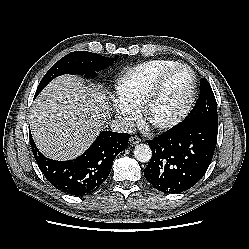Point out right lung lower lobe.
<instances>
[{
    "label": "right lung lower lobe",
    "mask_w": 249,
    "mask_h": 249,
    "mask_svg": "<svg viewBox=\"0 0 249 249\" xmlns=\"http://www.w3.org/2000/svg\"><path fill=\"white\" fill-rule=\"evenodd\" d=\"M29 136L32 152L46 179L60 191L74 196L91 194L103 184L115 157L127 148L130 137L128 133L103 131L81 156L55 161L42 155L30 132Z\"/></svg>",
    "instance_id": "right-lung-lower-lobe-1"
}]
</instances>
